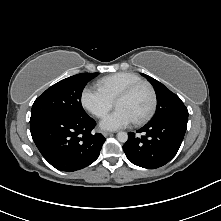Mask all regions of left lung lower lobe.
<instances>
[{
	"label": "left lung lower lobe",
	"instance_id": "obj_1",
	"mask_svg": "<svg viewBox=\"0 0 221 221\" xmlns=\"http://www.w3.org/2000/svg\"><path fill=\"white\" fill-rule=\"evenodd\" d=\"M187 116H176L163 119L156 123H148L137 133H128V140L123 145L126 157L133 164L155 169L168 163L178 152L183 141Z\"/></svg>",
	"mask_w": 221,
	"mask_h": 221
}]
</instances>
